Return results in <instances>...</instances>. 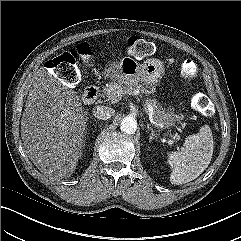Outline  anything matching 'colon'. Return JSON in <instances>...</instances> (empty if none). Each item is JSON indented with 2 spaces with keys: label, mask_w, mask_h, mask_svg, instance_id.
Here are the masks:
<instances>
[{
  "label": "colon",
  "mask_w": 241,
  "mask_h": 241,
  "mask_svg": "<svg viewBox=\"0 0 241 241\" xmlns=\"http://www.w3.org/2000/svg\"><path fill=\"white\" fill-rule=\"evenodd\" d=\"M127 47L129 53L134 57H146L155 50L152 42L137 36L128 39ZM78 48L76 51L63 53L46 63L47 69L52 70L68 85H74L80 79V71L77 66L79 59ZM196 73L197 65L195 62L191 59H185L181 64L182 77L186 81H190L195 77ZM208 104V99L199 94L194 95L191 100L193 109L199 113H205L208 110Z\"/></svg>",
  "instance_id": "obj_1"
}]
</instances>
